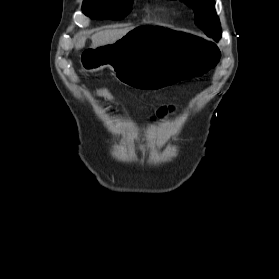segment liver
<instances>
[{
    "instance_id": "6515ba94",
    "label": "liver",
    "mask_w": 279,
    "mask_h": 279,
    "mask_svg": "<svg viewBox=\"0 0 279 279\" xmlns=\"http://www.w3.org/2000/svg\"><path fill=\"white\" fill-rule=\"evenodd\" d=\"M133 28H123V29H112V30H104L100 31L94 35H92V48L96 49L97 47L110 45L118 41L124 35H126ZM86 38L83 36L78 37L75 48L82 49L85 46Z\"/></svg>"
}]
</instances>
